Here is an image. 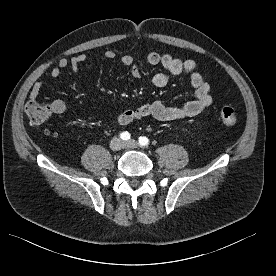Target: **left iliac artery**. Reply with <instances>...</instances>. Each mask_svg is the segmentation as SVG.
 Listing matches in <instances>:
<instances>
[{"mask_svg":"<svg viewBox=\"0 0 276 276\" xmlns=\"http://www.w3.org/2000/svg\"><path fill=\"white\" fill-rule=\"evenodd\" d=\"M138 142H139L140 146H142V147H146L149 145V139L145 136L139 137Z\"/></svg>","mask_w":276,"mask_h":276,"instance_id":"left-iliac-artery-1","label":"left iliac artery"}]
</instances>
